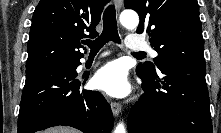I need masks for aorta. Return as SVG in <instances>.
Here are the masks:
<instances>
[{"label":"aorta","mask_w":221,"mask_h":133,"mask_svg":"<svg viewBox=\"0 0 221 133\" xmlns=\"http://www.w3.org/2000/svg\"><path fill=\"white\" fill-rule=\"evenodd\" d=\"M120 23L128 29H134L139 24L138 14L134 11H123L120 14ZM114 133H126L124 124L119 123L116 126Z\"/></svg>","instance_id":"aorta-1"}]
</instances>
